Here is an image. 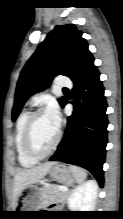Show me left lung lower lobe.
<instances>
[{
  "label": "left lung lower lobe",
  "mask_w": 123,
  "mask_h": 219,
  "mask_svg": "<svg viewBox=\"0 0 123 219\" xmlns=\"http://www.w3.org/2000/svg\"><path fill=\"white\" fill-rule=\"evenodd\" d=\"M74 111L67 118L64 137L50 161H61L89 170L103 186L107 145V103L94 58L88 59L71 78ZM65 99L62 107L67 104Z\"/></svg>",
  "instance_id": "1"
}]
</instances>
